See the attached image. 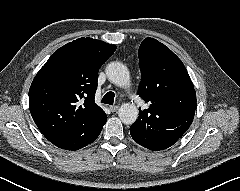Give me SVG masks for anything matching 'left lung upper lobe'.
<instances>
[{
	"instance_id": "1",
	"label": "left lung upper lobe",
	"mask_w": 240,
	"mask_h": 191,
	"mask_svg": "<svg viewBox=\"0 0 240 191\" xmlns=\"http://www.w3.org/2000/svg\"><path fill=\"white\" fill-rule=\"evenodd\" d=\"M138 56L142 75L138 95L150 105L140 110V119L145 120V126L155 124L170 130L174 139L181 138L190 127L197 106L195 89L184 64L153 38L142 41Z\"/></svg>"
}]
</instances>
